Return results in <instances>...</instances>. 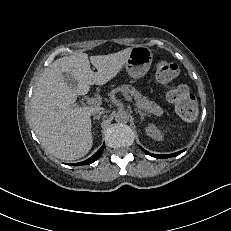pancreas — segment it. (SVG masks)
<instances>
[{
  "label": "pancreas",
  "mask_w": 231,
  "mask_h": 231,
  "mask_svg": "<svg viewBox=\"0 0 231 231\" xmlns=\"http://www.w3.org/2000/svg\"><path fill=\"white\" fill-rule=\"evenodd\" d=\"M115 91H120L123 94H130L135 99V104L139 109L144 110L145 112L152 113L157 116L163 114V109L156 103L149 101L145 96H142L134 87L128 85H122L114 89Z\"/></svg>",
  "instance_id": "pancreas-1"
}]
</instances>
